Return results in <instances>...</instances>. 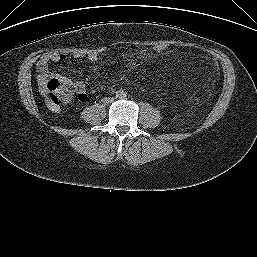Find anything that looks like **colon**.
Returning a JSON list of instances; mask_svg holds the SVG:
<instances>
[{"label": "colon", "instance_id": "colon-1", "mask_svg": "<svg viewBox=\"0 0 257 257\" xmlns=\"http://www.w3.org/2000/svg\"><path fill=\"white\" fill-rule=\"evenodd\" d=\"M153 50L157 53H162L167 50V46L158 44L153 46ZM41 89L45 96L47 105L53 110H58L63 105L70 104L74 99V93L70 89L66 88L56 78L48 79L41 85Z\"/></svg>", "mask_w": 257, "mask_h": 257}]
</instances>
